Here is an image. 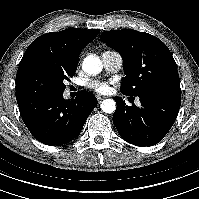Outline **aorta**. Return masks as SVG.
Instances as JSON below:
<instances>
[{
	"label": "aorta",
	"instance_id": "1",
	"mask_svg": "<svg viewBox=\"0 0 199 199\" xmlns=\"http://www.w3.org/2000/svg\"><path fill=\"white\" fill-rule=\"evenodd\" d=\"M102 61L95 55L84 58L82 63L83 70L89 75H96L102 70ZM101 109L105 113H113L116 110V103L113 99H105L101 103Z\"/></svg>",
	"mask_w": 199,
	"mask_h": 199
}]
</instances>
